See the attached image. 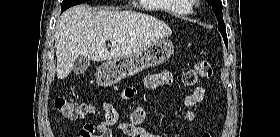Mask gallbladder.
<instances>
[{"instance_id":"1","label":"gallbladder","mask_w":280,"mask_h":137,"mask_svg":"<svg viewBox=\"0 0 280 137\" xmlns=\"http://www.w3.org/2000/svg\"><path fill=\"white\" fill-rule=\"evenodd\" d=\"M89 66H90V59H88L87 57L80 56L74 61L72 71L75 74L80 75L85 73Z\"/></svg>"}]
</instances>
